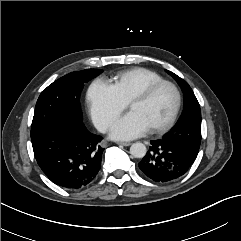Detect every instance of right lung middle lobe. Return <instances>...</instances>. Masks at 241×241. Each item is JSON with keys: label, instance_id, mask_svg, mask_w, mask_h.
<instances>
[{"label": "right lung middle lobe", "instance_id": "right-lung-middle-lobe-1", "mask_svg": "<svg viewBox=\"0 0 241 241\" xmlns=\"http://www.w3.org/2000/svg\"><path fill=\"white\" fill-rule=\"evenodd\" d=\"M100 73L101 69L72 72L50 84L37 100L31 125V139L62 121L82 122L80 93L84 83Z\"/></svg>", "mask_w": 241, "mask_h": 241}]
</instances>
